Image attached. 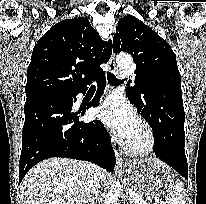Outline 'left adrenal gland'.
Segmentation results:
<instances>
[{"label": "left adrenal gland", "instance_id": "left-adrenal-gland-1", "mask_svg": "<svg viewBox=\"0 0 206 204\" xmlns=\"http://www.w3.org/2000/svg\"><path fill=\"white\" fill-rule=\"evenodd\" d=\"M124 201L129 200L130 201V197L128 195V193L126 192V194L123 196ZM131 203V202H130Z\"/></svg>", "mask_w": 206, "mask_h": 204}]
</instances>
